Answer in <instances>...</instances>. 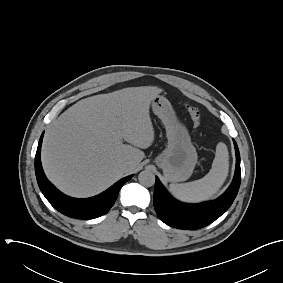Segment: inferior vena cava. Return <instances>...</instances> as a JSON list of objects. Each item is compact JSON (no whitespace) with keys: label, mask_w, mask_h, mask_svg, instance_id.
Returning a JSON list of instances; mask_svg holds the SVG:
<instances>
[{"label":"inferior vena cava","mask_w":283,"mask_h":283,"mask_svg":"<svg viewBox=\"0 0 283 283\" xmlns=\"http://www.w3.org/2000/svg\"><path fill=\"white\" fill-rule=\"evenodd\" d=\"M129 163L128 162H126V163H123V164H121V169H123V170H127L128 169V167H129Z\"/></svg>","instance_id":"602c4592"}]
</instances>
